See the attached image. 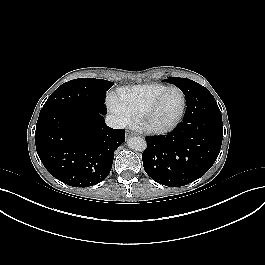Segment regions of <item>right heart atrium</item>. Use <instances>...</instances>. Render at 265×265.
I'll list each match as a JSON object with an SVG mask.
<instances>
[{
	"label": "right heart atrium",
	"mask_w": 265,
	"mask_h": 265,
	"mask_svg": "<svg viewBox=\"0 0 265 265\" xmlns=\"http://www.w3.org/2000/svg\"><path fill=\"white\" fill-rule=\"evenodd\" d=\"M107 105L109 110L114 113L121 124L127 125L130 123L131 118L125 111V109L120 105L118 97L115 93H111L107 97Z\"/></svg>",
	"instance_id": "obj_1"
}]
</instances>
